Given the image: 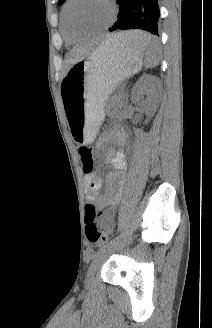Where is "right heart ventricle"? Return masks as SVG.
Listing matches in <instances>:
<instances>
[{
	"label": "right heart ventricle",
	"mask_w": 212,
	"mask_h": 328,
	"mask_svg": "<svg viewBox=\"0 0 212 328\" xmlns=\"http://www.w3.org/2000/svg\"><path fill=\"white\" fill-rule=\"evenodd\" d=\"M61 30H62V34H63L64 40H65V42L67 44L73 45V44H75L76 42L79 41L80 37L73 36L67 30L66 24H65V21H64L63 12H62V17H61Z\"/></svg>",
	"instance_id": "1"
}]
</instances>
